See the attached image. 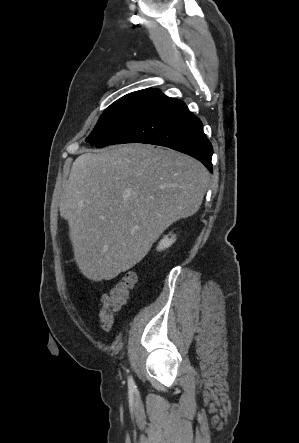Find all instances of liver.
Instances as JSON below:
<instances>
[{
	"label": "liver",
	"instance_id": "obj_1",
	"mask_svg": "<svg viewBox=\"0 0 299 443\" xmlns=\"http://www.w3.org/2000/svg\"><path fill=\"white\" fill-rule=\"evenodd\" d=\"M209 180L198 160L148 144L80 155L59 204L80 272L99 282L131 269L171 224L199 210Z\"/></svg>",
	"mask_w": 299,
	"mask_h": 443
}]
</instances>
